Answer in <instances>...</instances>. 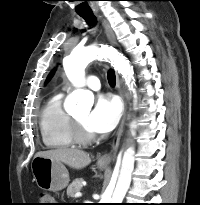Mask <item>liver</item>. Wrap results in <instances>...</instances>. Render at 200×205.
<instances>
[{"mask_svg": "<svg viewBox=\"0 0 200 205\" xmlns=\"http://www.w3.org/2000/svg\"><path fill=\"white\" fill-rule=\"evenodd\" d=\"M35 156L51 158L74 169L85 168L91 163V158L88 153L73 148H57L53 150L41 151L36 153Z\"/></svg>", "mask_w": 200, "mask_h": 205, "instance_id": "obj_1", "label": "liver"}]
</instances>
